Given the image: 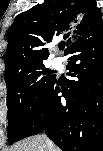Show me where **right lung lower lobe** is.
<instances>
[{
  "label": "right lung lower lobe",
  "mask_w": 103,
  "mask_h": 151,
  "mask_svg": "<svg viewBox=\"0 0 103 151\" xmlns=\"http://www.w3.org/2000/svg\"><path fill=\"white\" fill-rule=\"evenodd\" d=\"M64 55L73 79H54L20 140L45 131L62 151L94 150L102 135L103 27L78 38Z\"/></svg>",
  "instance_id": "obj_1"
}]
</instances>
